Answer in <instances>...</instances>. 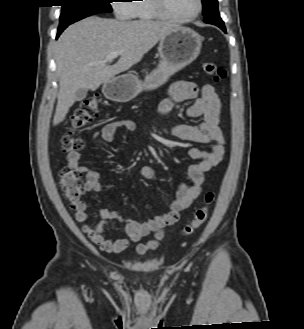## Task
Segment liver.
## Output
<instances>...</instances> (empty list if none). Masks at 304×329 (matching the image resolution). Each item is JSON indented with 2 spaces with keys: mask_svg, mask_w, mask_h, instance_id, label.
Wrapping results in <instances>:
<instances>
[{
  "mask_svg": "<svg viewBox=\"0 0 304 329\" xmlns=\"http://www.w3.org/2000/svg\"><path fill=\"white\" fill-rule=\"evenodd\" d=\"M177 25L170 22L118 21L96 16L70 25L56 43L59 93L53 125L63 122L80 88L96 90L141 61ZM121 53L114 65L108 54Z\"/></svg>",
  "mask_w": 304,
  "mask_h": 329,
  "instance_id": "liver-1",
  "label": "liver"
}]
</instances>
